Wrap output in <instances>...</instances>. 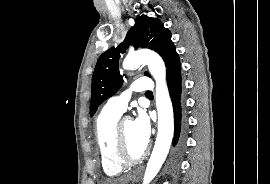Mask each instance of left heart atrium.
Listing matches in <instances>:
<instances>
[{
    "instance_id": "obj_1",
    "label": "left heart atrium",
    "mask_w": 270,
    "mask_h": 184,
    "mask_svg": "<svg viewBox=\"0 0 270 184\" xmlns=\"http://www.w3.org/2000/svg\"><path fill=\"white\" fill-rule=\"evenodd\" d=\"M139 137L146 143L151 135V126L147 115L144 112H139L136 119L133 121Z\"/></svg>"
}]
</instances>
